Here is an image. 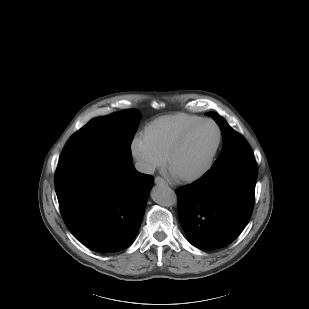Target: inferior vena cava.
Wrapping results in <instances>:
<instances>
[{
	"mask_svg": "<svg viewBox=\"0 0 309 309\" xmlns=\"http://www.w3.org/2000/svg\"><path fill=\"white\" fill-rule=\"evenodd\" d=\"M135 168L137 171L145 173V174H153L155 171L154 166L149 163L138 161L135 163Z\"/></svg>",
	"mask_w": 309,
	"mask_h": 309,
	"instance_id": "inferior-vena-cava-1",
	"label": "inferior vena cava"
}]
</instances>
